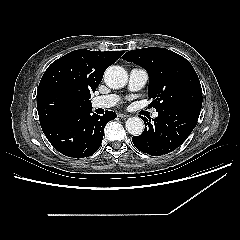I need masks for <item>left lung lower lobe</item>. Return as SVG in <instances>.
<instances>
[{
    "mask_svg": "<svg viewBox=\"0 0 240 240\" xmlns=\"http://www.w3.org/2000/svg\"><path fill=\"white\" fill-rule=\"evenodd\" d=\"M201 105H187L158 112V117L143 118L145 130L132 138L135 147L153 156L167 154L179 147L195 128Z\"/></svg>",
    "mask_w": 240,
    "mask_h": 240,
    "instance_id": "obj_1",
    "label": "left lung lower lobe"
}]
</instances>
